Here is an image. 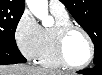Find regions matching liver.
<instances>
[{
    "label": "liver",
    "instance_id": "6515ba94",
    "mask_svg": "<svg viewBox=\"0 0 102 75\" xmlns=\"http://www.w3.org/2000/svg\"><path fill=\"white\" fill-rule=\"evenodd\" d=\"M0 75H63V74L61 72L47 70L40 67L16 64L1 66Z\"/></svg>",
    "mask_w": 102,
    "mask_h": 75
}]
</instances>
